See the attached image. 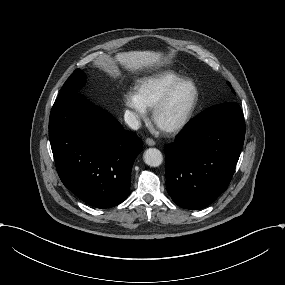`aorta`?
Returning a JSON list of instances; mask_svg holds the SVG:
<instances>
[{"mask_svg": "<svg viewBox=\"0 0 285 285\" xmlns=\"http://www.w3.org/2000/svg\"><path fill=\"white\" fill-rule=\"evenodd\" d=\"M163 161V155L156 148H149L144 152V162L152 167H158Z\"/></svg>", "mask_w": 285, "mask_h": 285, "instance_id": "1", "label": "aorta"}]
</instances>
